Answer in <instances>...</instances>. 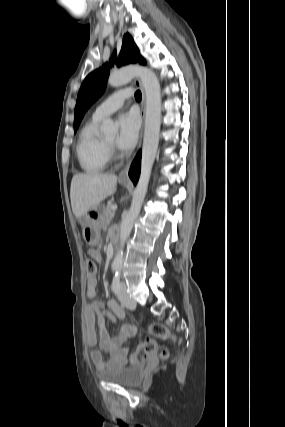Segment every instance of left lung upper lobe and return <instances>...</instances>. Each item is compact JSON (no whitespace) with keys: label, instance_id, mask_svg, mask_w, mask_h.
Segmentation results:
<instances>
[{"label":"left lung upper lobe","instance_id":"1","mask_svg":"<svg viewBox=\"0 0 285 427\" xmlns=\"http://www.w3.org/2000/svg\"><path fill=\"white\" fill-rule=\"evenodd\" d=\"M114 62L117 63V66L137 62L146 64L145 59L140 56L139 50L129 33L124 35L122 48L117 61L116 52H114L109 64L106 63L101 68L90 73L82 83L74 113L75 132L86 110L104 92L110 67L113 66Z\"/></svg>","mask_w":285,"mask_h":427}]
</instances>
